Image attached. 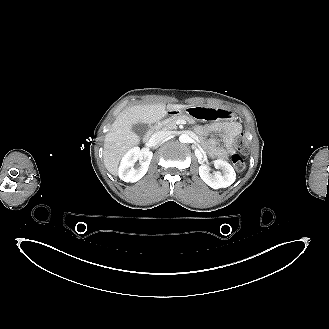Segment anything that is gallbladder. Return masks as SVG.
Wrapping results in <instances>:
<instances>
[{
    "label": "gallbladder",
    "mask_w": 329,
    "mask_h": 329,
    "mask_svg": "<svg viewBox=\"0 0 329 329\" xmlns=\"http://www.w3.org/2000/svg\"><path fill=\"white\" fill-rule=\"evenodd\" d=\"M149 127L148 124L139 122L132 126V131L138 135L139 137H144L148 131Z\"/></svg>",
    "instance_id": "1"
}]
</instances>
